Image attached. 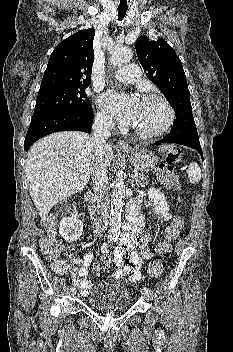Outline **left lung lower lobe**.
Here are the masks:
<instances>
[{
    "mask_svg": "<svg viewBox=\"0 0 233 352\" xmlns=\"http://www.w3.org/2000/svg\"><path fill=\"white\" fill-rule=\"evenodd\" d=\"M161 143H176V144L188 146L190 148L197 150L201 155V158L203 159L202 149H201L198 134L178 137L176 135L169 133L165 138L154 143V145L161 144Z\"/></svg>",
    "mask_w": 233,
    "mask_h": 352,
    "instance_id": "0a47b994",
    "label": "left lung lower lobe"
}]
</instances>
